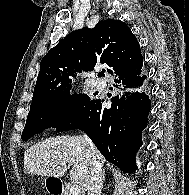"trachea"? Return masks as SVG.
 Here are the masks:
<instances>
[{
  "label": "trachea",
  "instance_id": "3493384b",
  "mask_svg": "<svg viewBox=\"0 0 189 195\" xmlns=\"http://www.w3.org/2000/svg\"><path fill=\"white\" fill-rule=\"evenodd\" d=\"M99 77H104L105 76V70H102L101 73L98 74Z\"/></svg>",
  "mask_w": 189,
  "mask_h": 195
}]
</instances>
